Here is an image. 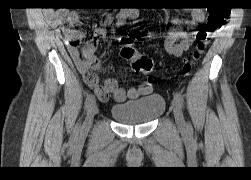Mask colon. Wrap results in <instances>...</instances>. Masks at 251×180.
I'll use <instances>...</instances> for the list:
<instances>
[{"mask_svg": "<svg viewBox=\"0 0 251 180\" xmlns=\"http://www.w3.org/2000/svg\"><path fill=\"white\" fill-rule=\"evenodd\" d=\"M228 17L229 11L227 9L213 8L209 10L205 25L200 27L195 34L196 46L191 58L183 65V75L191 73L194 65L205 52L211 34L221 28L226 23ZM141 36L140 32H130L120 36L118 38V42L121 45L120 55L131 63L135 72L142 75H150L153 71L152 60L146 55L137 53L134 48V42Z\"/></svg>", "mask_w": 251, "mask_h": 180, "instance_id": "colon-1", "label": "colon"}]
</instances>
